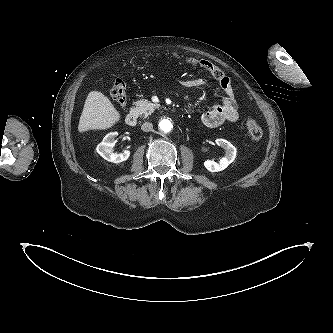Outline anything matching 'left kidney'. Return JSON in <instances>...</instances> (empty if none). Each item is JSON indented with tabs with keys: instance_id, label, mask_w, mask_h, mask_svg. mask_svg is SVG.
<instances>
[{
	"instance_id": "5707ae66",
	"label": "left kidney",
	"mask_w": 333,
	"mask_h": 333,
	"mask_svg": "<svg viewBox=\"0 0 333 333\" xmlns=\"http://www.w3.org/2000/svg\"><path fill=\"white\" fill-rule=\"evenodd\" d=\"M215 142L219 147L226 150V155L220 159L219 163L214 162L213 160H206L204 162L205 168L210 172H219L226 169L228 165L235 160L237 153V149L229 141L225 139H216Z\"/></svg>"
}]
</instances>
